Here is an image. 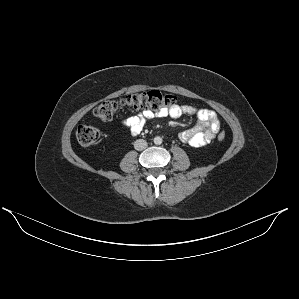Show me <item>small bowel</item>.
<instances>
[{
	"mask_svg": "<svg viewBox=\"0 0 299 299\" xmlns=\"http://www.w3.org/2000/svg\"><path fill=\"white\" fill-rule=\"evenodd\" d=\"M182 115H193L198 119L195 126L180 133L179 139L183 143L192 147H201L210 143L219 132L220 122L214 111L191 105H174L169 109L158 111L144 110L136 115L122 118L120 125L132 134H139L150 120L166 116L179 118Z\"/></svg>",
	"mask_w": 299,
	"mask_h": 299,
	"instance_id": "small-bowel-1",
	"label": "small bowel"
}]
</instances>
